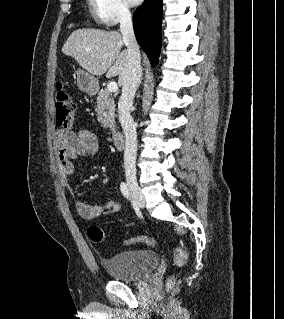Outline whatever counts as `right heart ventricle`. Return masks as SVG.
<instances>
[{
  "label": "right heart ventricle",
  "instance_id": "obj_1",
  "mask_svg": "<svg viewBox=\"0 0 284 319\" xmlns=\"http://www.w3.org/2000/svg\"><path fill=\"white\" fill-rule=\"evenodd\" d=\"M89 3L91 4V6H93V1L92 0H89Z\"/></svg>",
  "mask_w": 284,
  "mask_h": 319
}]
</instances>
